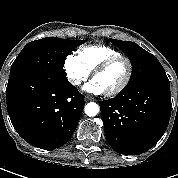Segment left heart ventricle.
<instances>
[{
  "label": "left heart ventricle",
  "instance_id": "obj_1",
  "mask_svg": "<svg viewBox=\"0 0 178 178\" xmlns=\"http://www.w3.org/2000/svg\"><path fill=\"white\" fill-rule=\"evenodd\" d=\"M126 73V63L124 61H118L103 73L97 75L93 80L103 88L104 92H107L118 87L125 79Z\"/></svg>",
  "mask_w": 178,
  "mask_h": 178
}]
</instances>
